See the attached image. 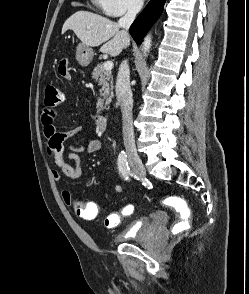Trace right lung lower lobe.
Masks as SVG:
<instances>
[{
	"label": "right lung lower lobe",
	"mask_w": 249,
	"mask_h": 294,
	"mask_svg": "<svg viewBox=\"0 0 249 294\" xmlns=\"http://www.w3.org/2000/svg\"><path fill=\"white\" fill-rule=\"evenodd\" d=\"M166 0H151L144 11L130 27V34L137 44H141L144 35L162 13Z\"/></svg>",
	"instance_id": "obj_1"
}]
</instances>
